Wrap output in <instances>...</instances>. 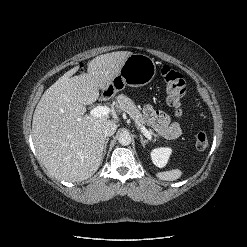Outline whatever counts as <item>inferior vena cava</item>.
<instances>
[{
	"mask_svg": "<svg viewBox=\"0 0 247 247\" xmlns=\"http://www.w3.org/2000/svg\"><path fill=\"white\" fill-rule=\"evenodd\" d=\"M117 125L114 121L107 120L103 123L102 131L104 136H112L116 131Z\"/></svg>",
	"mask_w": 247,
	"mask_h": 247,
	"instance_id": "obj_1",
	"label": "inferior vena cava"
}]
</instances>
